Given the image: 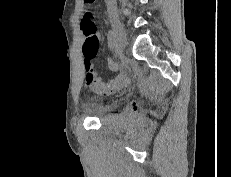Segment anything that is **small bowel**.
<instances>
[{
  "label": "small bowel",
  "instance_id": "obj_1",
  "mask_svg": "<svg viewBox=\"0 0 231 177\" xmlns=\"http://www.w3.org/2000/svg\"><path fill=\"white\" fill-rule=\"evenodd\" d=\"M85 79L89 87L102 94H110L125 87L129 83V78L125 73L119 74L108 83H104L94 72L91 60L84 58Z\"/></svg>",
  "mask_w": 231,
  "mask_h": 177
}]
</instances>
